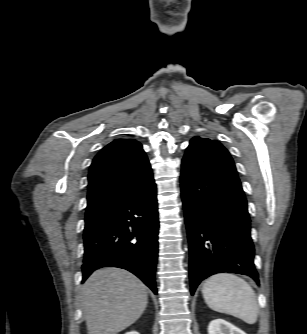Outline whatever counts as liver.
<instances>
[{
  "label": "liver",
  "mask_w": 307,
  "mask_h": 334,
  "mask_svg": "<svg viewBox=\"0 0 307 334\" xmlns=\"http://www.w3.org/2000/svg\"><path fill=\"white\" fill-rule=\"evenodd\" d=\"M80 299L88 334H117L139 319L148 295L146 286L132 273L101 268L84 283Z\"/></svg>",
  "instance_id": "obj_1"
}]
</instances>
